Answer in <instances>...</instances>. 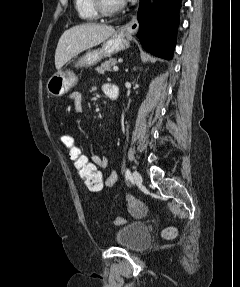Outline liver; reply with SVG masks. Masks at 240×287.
Here are the masks:
<instances>
[{"mask_svg":"<svg viewBox=\"0 0 240 287\" xmlns=\"http://www.w3.org/2000/svg\"><path fill=\"white\" fill-rule=\"evenodd\" d=\"M114 32L112 26L98 23L76 25L66 30L55 51L56 69H60L80 52L104 42Z\"/></svg>","mask_w":240,"mask_h":287,"instance_id":"6515ba94","label":"liver"}]
</instances>
